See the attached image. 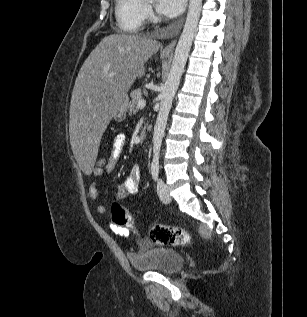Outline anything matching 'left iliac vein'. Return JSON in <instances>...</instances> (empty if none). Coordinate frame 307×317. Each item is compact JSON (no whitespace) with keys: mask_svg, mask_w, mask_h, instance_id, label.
<instances>
[{"mask_svg":"<svg viewBox=\"0 0 307 317\" xmlns=\"http://www.w3.org/2000/svg\"><path fill=\"white\" fill-rule=\"evenodd\" d=\"M157 193H158L160 200L163 203H166V204L170 203L171 196L169 194L168 187L166 186V184L164 183V181L162 179H159L157 182Z\"/></svg>","mask_w":307,"mask_h":317,"instance_id":"obj_1","label":"left iliac vein"}]
</instances>
